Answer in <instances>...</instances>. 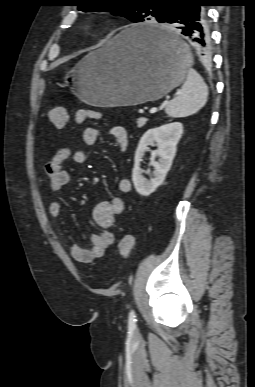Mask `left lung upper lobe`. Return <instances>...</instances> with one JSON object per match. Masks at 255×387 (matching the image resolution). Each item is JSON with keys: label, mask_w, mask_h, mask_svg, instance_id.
Instances as JSON below:
<instances>
[{"label": "left lung upper lobe", "mask_w": 255, "mask_h": 387, "mask_svg": "<svg viewBox=\"0 0 255 387\" xmlns=\"http://www.w3.org/2000/svg\"><path fill=\"white\" fill-rule=\"evenodd\" d=\"M178 1L181 0H76V5L84 12L110 11L132 22H143L155 18L162 23L168 5Z\"/></svg>", "instance_id": "1"}]
</instances>
